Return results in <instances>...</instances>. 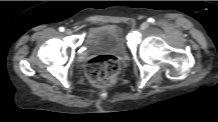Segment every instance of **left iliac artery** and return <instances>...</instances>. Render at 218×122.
<instances>
[{
	"label": "left iliac artery",
	"mask_w": 218,
	"mask_h": 122,
	"mask_svg": "<svg viewBox=\"0 0 218 122\" xmlns=\"http://www.w3.org/2000/svg\"><path fill=\"white\" fill-rule=\"evenodd\" d=\"M148 22L154 23V19H153V18H149V19H148Z\"/></svg>",
	"instance_id": "1"
}]
</instances>
